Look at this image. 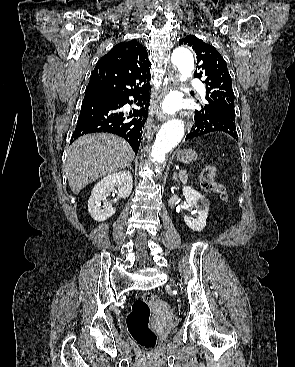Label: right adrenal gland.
<instances>
[{
    "label": "right adrenal gland",
    "instance_id": "right-adrenal-gland-1",
    "mask_svg": "<svg viewBox=\"0 0 295 367\" xmlns=\"http://www.w3.org/2000/svg\"><path fill=\"white\" fill-rule=\"evenodd\" d=\"M128 169H130V170L132 169L131 164L128 166Z\"/></svg>",
    "mask_w": 295,
    "mask_h": 367
}]
</instances>
